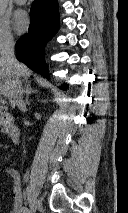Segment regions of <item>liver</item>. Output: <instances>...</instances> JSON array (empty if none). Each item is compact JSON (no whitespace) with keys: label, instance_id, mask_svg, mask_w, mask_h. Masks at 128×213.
Here are the masks:
<instances>
[{"label":"liver","instance_id":"6515ba94","mask_svg":"<svg viewBox=\"0 0 128 213\" xmlns=\"http://www.w3.org/2000/svg\"><path fill=\"white\" fill-rule=\"evenodd\" d=\"M20 66L21 76L24 78L25 81H27L31 75V71L24 64H20ZM14 80L15 77L12 73L11 68L7 65L6 61L2 57H0V94L8 98L12 107L15 106L12 95Z\"/></svg>","mask_w":128,"mask_h":213}]
</instances>
